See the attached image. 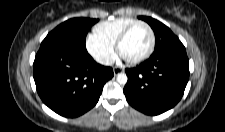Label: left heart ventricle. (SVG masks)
I'll return each mask as SVG.
<instances>
[{
  "mask_svg": "<svg viewBox=\"0 0 225 132\" xmlns=\"http://www.w3.org/2000/svg\"><path fill=\"white\" fill-rule=\"evenodd\" d=\"M150 44V34L146 27H135L121 46V56L124 59H135L143 55Z\"/></svg>",
  "mask_w": 225,
  "mask_h": 132,
  "instance_id": "1",
  "label": "left heart ventricle"
}]
</instances>
